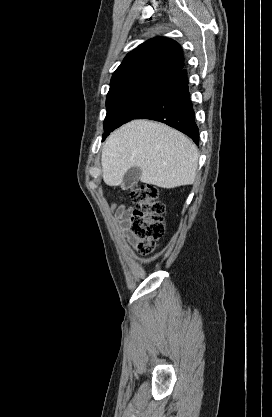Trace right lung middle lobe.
Returning <instances> with one entry per match:
<instances>
[{
	"label": "right lung middle lobe",
	"mask_w": 272,
	"mask_h": 417,
	"mask_svg": "<svg viewBox=\"0 0 272 417\" xmlns=\"http://www.w3.org/2000/svg\"><path fill=\"white\" fill-rule=\"evenodd\" d=\"M161 88H133L117 92L106 100L104 140L110 132L134 119L159 93Z\"/></svg>",
	"instance_id": "1"
}]
</instances>
